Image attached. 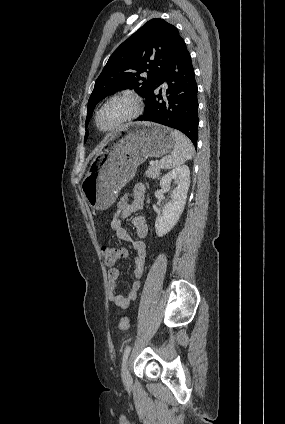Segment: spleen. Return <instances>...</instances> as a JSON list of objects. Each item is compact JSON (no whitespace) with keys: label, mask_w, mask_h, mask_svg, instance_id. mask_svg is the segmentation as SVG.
<instances>
[{"label":"spleen","mask_w":285,"mask_h":424,"mask_svg":"<svg viewBox=\"0 0 285 424\" xmlns=\"http://www.w3.org/2000/svg\"><path fill=\"white\" fill-rule=\"evenodd\" d=\"M174 147L171 155L160 160V166L164 169L178 167L187 160L192 159L194 147L191 141L181 132L173 131Z\"/></svg>","instance_id":"1"}]
</instances>
